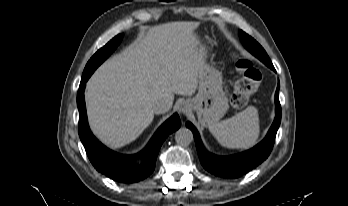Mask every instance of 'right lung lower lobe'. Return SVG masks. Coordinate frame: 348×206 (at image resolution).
Returning <instances> with one entry per match:
<instances>
[{
	"label": "right lung lower lobe",
	"instance_id": "98d812e1",
	"mask_svg": "<svg viewBox=\"0 0 348 206\" xmlns=\"http://www.w3.org/2000/svg\"><path fill=\"white\" fill-rule=\"evenodd\" d=\"M106 58L104 57L101 60H105ZM102 62L98 60L91 61V63L86 65L83 72L77 96L79 136L91 163L99 172L120 182H136L146 178L153 172L162 143L169 134L180 127L181 122L179 116L175 114L158 129L146 149L142 152L146 160L143 167L134 165L132 156H121L104 147L95 139L88 127L84 101L86 81Z\"/></svg>",
	"mask_w": 348,
	"mask_h": 206
}]
</instances>
